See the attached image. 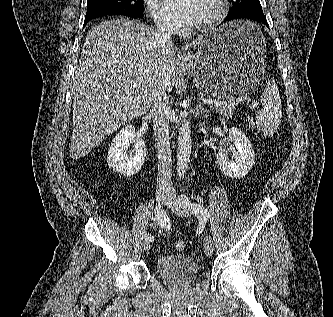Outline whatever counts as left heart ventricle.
I'll return each mask as SVG.
<instances>
[{
    "label": "left heart ventricle",
    "instance_id": "left-heart-ventricle-1",
    "mask_svg": "<svg viewBox=\"0 0 333 317\" xmlns=\"http://www.w3.org/2000/svg\"><path fill=\"white\" fill-rule=\"evenodd\" d=\"M213 0H200L199 17L195 25L202 24L207 21L215 10Z\"/></svg>",
    "mask_w": 333,
    "mask_h": 317
}]
</instances>
